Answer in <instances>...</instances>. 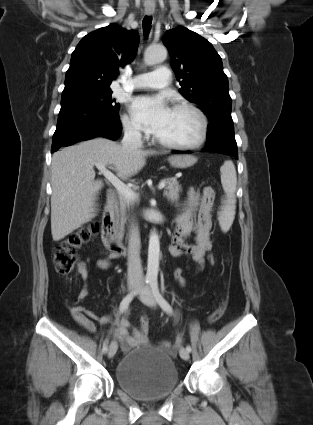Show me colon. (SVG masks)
Returning <instances> with one entry per match:
<instances>
[{
    "label": "colon",
    "instance_id": "colon-1",
    "mask_svg": "<svg viewBox=\"0 0 313 425\" xmlns=\"http://www.w3.org/2000/svg\"><path fill=\"white\" fill-rule=\"evenodd\" d=\"M98 229L97 223H90L87 226L69 234L53 248V261L55 269L59 274L68 275L74 270L78 262V251L97 234ZM215 261V256L210 254L208 256V262L211 265H214ZM174 278L175 284L178 288H184L187 286L188 279L182 269H177L175 271ZM225 308L226 301H223L221 305L209 316V321L215 322L219 320L223 315ZM148 330L149 323L148 320L144 318L139 330V336L142 341L147 340Z\"/></svg>",
    "mask_w": 313,
    "mask_h": 425
}]
</instances>
